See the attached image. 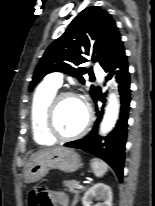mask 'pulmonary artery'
<instances>
[{"label": "pulmonary artery", "instance_id": "1", "mask_svg": "<svg viewBox=\"0 0 155 206\" xmlns=\"http://www.w3.org/2000/svg\"><path fill=\"white\" fill-rule=\"evenodd\" d=\"M99 76H102V70L96 69ZM46 82L54 87L59 88L62 84V75L60 73H53L47 76Z\"/></svg>", "mask_w": 155, "mask_h": 206}]
</instances>
